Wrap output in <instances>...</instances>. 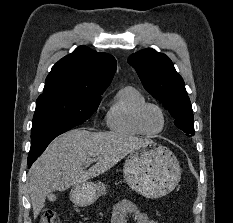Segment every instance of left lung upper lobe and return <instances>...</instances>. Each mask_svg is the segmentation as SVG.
<instances>
[{
    "mask_svg": "<svg viewBox=\"0 0 233 223\" xmlns=\"http://www.w3.org/2000/svg\"><path fill=\"white\" fill-rule=\"evenodd\" d=\"M128 62L137 71L144 88L174 117L177 128L187 136L194 135L191 102L172 61L165 54L144 49L132 54Z\"/></svg>",
    "mask_w": 233,
    "mask_h": 223,
    "instance_id": "5c2ea615",
    "label": "left lung upper lobe"
}]
</instances>
